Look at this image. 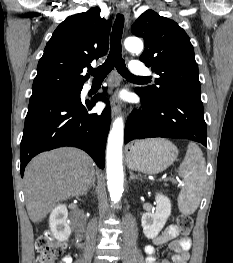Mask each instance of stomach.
Here are the masks:
<instances>
[{
	"label": "stomach",
	"instance_id": "obj_1",
	"mask_svg": "<svg viewBox=\"0 0 233 263\" xmlns=\"http://www.w3.org/2000/svg\"><path fill=\"white\" fill-rule=\"evenodd\" d=\"M177 155V147L168 140H139L127 152V165L131 170L156 174L168 168Z\"/></svg>",
	"mask_w": 233,
	"mask_h": 263
}]
</instances>
